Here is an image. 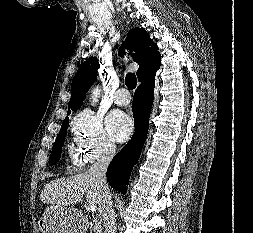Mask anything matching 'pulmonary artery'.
<instances>
[{
    "label": "pulmonary artery",
    "instance_id": "obj_1",
    "mask_svg": "<svg viewBox=\"0 0 253 233\" xmlns=\"http://www.w3.org/2000/svg\"><path fill=\"white\" fill-rule=\"evenodd\" d=\"M113 101L118 106H126L130 103L131 97L126 88H120L116 91L113 97Z\"/></svg>",
    "mask_w": 253,
    "mask_h": 233
}]
</instances>
